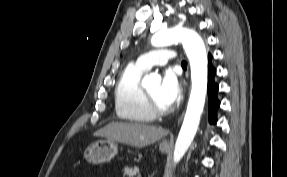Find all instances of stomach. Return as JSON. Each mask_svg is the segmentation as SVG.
<instances>
[{
    "label": "stomach",
    "mask_w": 287,
    "mask_h": 177,
    "mask_svg": "<svg viewBox=\"0 0 287 177\" xmlns=\"http://www.w3.org/2000/svg\"><path fill=\"white\" fill-rule=\"evenodd\" d=\"M161 152L166 153L169 146L162 142L159 146ZM117 144L112 140H100L87 147L84 153L85 159L92 164L108 162L117 154Z\"/></svg>",
    "instance_id": "stomach-1"
}]
</instances>
